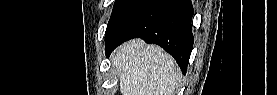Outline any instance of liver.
<instances>
[{"label": "liver", "instance_id": "liver-1", "mask_svg": "<svg viewBox=\"0 0 277 95\" xmlns=\"http://www.w3.org/2000/svg\"><path fill=\"white\" fill-rule=\"evenodd\" d=\"M122 95H173L180 73L174 59L157 45L133 39L112 56Z\"/></svg>", "mask_w": 277, "mask_h": 95}]
</instances>
